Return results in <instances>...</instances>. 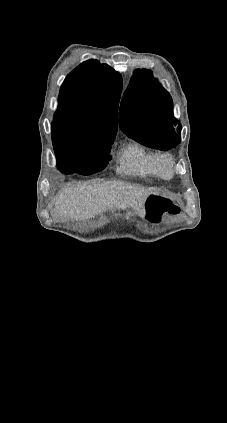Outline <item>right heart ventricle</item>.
I'll list each match as a JSON object with an SVG mask.
<instances>
[{"label": "right heart ventricle", "instance_id": "e07e8e85", "mask_svg": "<svg viewBox=\"0 0 227 423\" xmlns=\"http://www.w3.org/2000/svg\"><path fill=\"white\" fill-rule=\"evenodd\" d=\"M157 153L139 142L128 143L120 152L117 171L138 177H162L156 165Z\"/></svg>", "mask_w": 227, "mask_h": 423}]
</instances>
